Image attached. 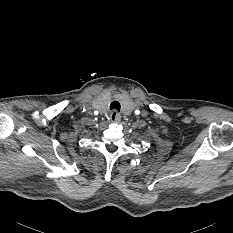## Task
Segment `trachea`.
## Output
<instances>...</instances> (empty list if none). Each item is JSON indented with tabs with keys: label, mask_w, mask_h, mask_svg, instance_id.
I'll return each instance as SVG.
<instances>
[{
	"label": "trachea",
	"mask_w": 233,
	"mask_h": 233,
	"mask_svg": "<svg viewBox=\"0 0 233 233\" xmlns=\"http://www.w3.org/2000/svg\"><path fill=\"white\" fill-rule=\"evenodd\" d=\"M120 103L118 101H112L111 104H110V109L111 110H117V111H120Z\"/></svg>",
	"instance_id": "trachea-1"
}]
</instances>
